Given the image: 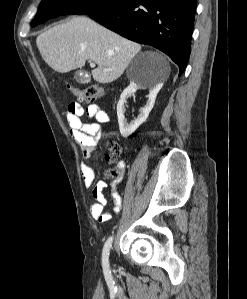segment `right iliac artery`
Here are the masks:
<instances>
[{
    "label": "right iliac artery",
    "mask_w": 247,
    "mask_h": 299,
    "mask_svg": "<svg viewBox=\"0 0 247 299\" xmlns=\"http://www.w3.org/2000/svg\"><path fill=\"white\" fill-rule=\"evenodd\" d=\"M112 242H113V236H110L104 245L103 253H102L103 269L106 273H110L108 258H109L110 249L112 247Z\"/></svg>",
    "instance_id": "obj_1"
}]
</instances>
